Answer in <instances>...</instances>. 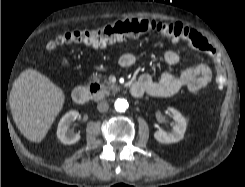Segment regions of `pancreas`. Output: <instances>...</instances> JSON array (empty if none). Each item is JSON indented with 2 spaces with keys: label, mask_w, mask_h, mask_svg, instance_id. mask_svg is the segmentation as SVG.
I'll return each mask as SVG.
<instances>
[{
  "label": "pancreas",
  "mask_w": 245,
  "mask_h": 187,
  "mask_svg": "<svg viewBox=\"0 0 245 187\" xmlns=\"http://www.w3.org/2000/svg\"><path fill=\"white\" fill-rule=\"evenodd\" d=\"M92 82L100 84L101 91L107 95L110 93V91L117 92L120 90V88L117 85L109 83L107 80H105L104 83H101L100 78L97 75L92 77Z\"/></svg>",
  "instance_id": "obj_1"
}]
</instances>
